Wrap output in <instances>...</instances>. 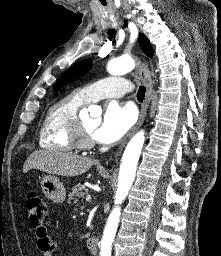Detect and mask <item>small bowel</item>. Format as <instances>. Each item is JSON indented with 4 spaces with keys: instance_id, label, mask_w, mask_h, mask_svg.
Wrapping results in <instances>:
<instances>
[{
    "instance_id": "small-bowel-1",
    "label": "small bowel",
    "mask_w": 221,
    "mask_h": 256,
    "mask_svg": "<svg viewBox=\"0 0 221 256\" xmlns=\"http://www.w3.org/2000/svg\"><path fill=\"white\" fill-rule=\"evenodd\" d=\"M37 245L43 256H53V253L57 251V245L52 241L46 232V229L36 232Z\"/></svg>"
}]
</instances>
